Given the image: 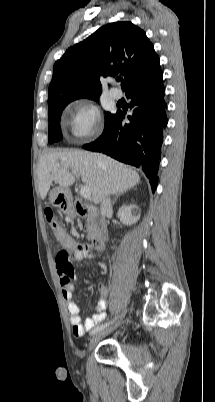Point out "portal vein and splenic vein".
Returning a JSON list of instances; mask_svg holds the SVG:
<instances>
[{"label":"portal vein and splenic vein","instance_id":"1","mask_svg":"<svg viewBox=\"0 0 215 402\" xmlns=\"http://www.w3.org/2000/svg\"><path fill=\"white\" fill-rule=\"evenodd\" d=\"M72 173L78 177L77 173L75 171H72ZM80 195L84 198V199H90L91 198V191L90 188L86 185L82 186L80 189Z\"/></svg>","mask_w":215,"mask_h":402}]
</instances>
